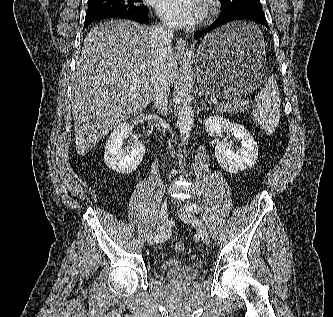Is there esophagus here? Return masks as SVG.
Masks as SVG:
<instances>
[{"label": "esophagus", "mask_w": 333, "mask_h": 317, "mask_svg": "<svg viewBox=\"0 0 333 317\" xmlns=\"http://www.w3.org/2000/svg\"><path fill=\"white\" fill-rule=\"evenodd\" d=\"M175 55L177 58H187L189 56V50L186 47V43L183 39H178L175 46Z\"/></svg>", "instance_id": "obj_1"}]
</instances>
